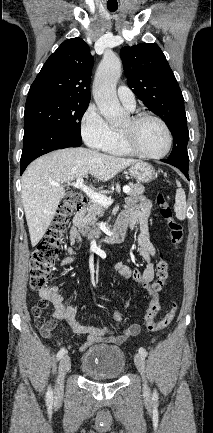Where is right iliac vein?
Masks as SVG:
<instances>
[{"mask_svg":"<svg viewBox=\"0 0 213 433\" xmlns=\"http://www.w3.org/2000/svg\"><path fill=\"white\" fill-rule=\"evenodd\" d=\"M70 367H71L70 357L66 355L61 359L59 363L58 378L54 390V395L56 399L61 398L63 395L64 377L66 373L69 371Z\"/></svg>","mask_w":213,"mask_h":433,"instance_id":"63e3f726","label":"right iliac vein"}]
</instances>
